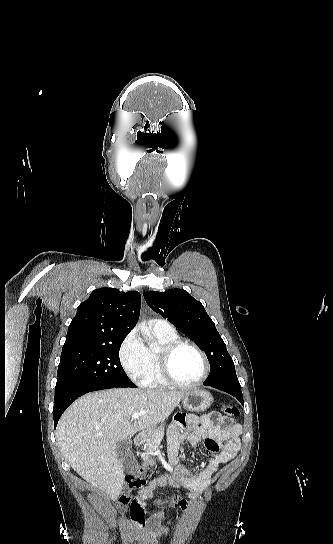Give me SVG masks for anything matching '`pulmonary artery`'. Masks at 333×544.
<instances>
[{
  "instance_id": "obj_1",
  "label": "pulmonary artery",
  "mask_w": 333,
  "mask_h": 544,
  "mask_svg": "<svg viewBox=\"0 0 333 544\" xmlns=\"http://www.w3.org/2000/svg\"><path fill=\"white\" fill-rule=\"evenodd\" d=\"M149 324L153 326L154 328H157L159 330H172L173 327L165 320L161 319H152L149 321Z\"/></svg>"
}]
</instances>
